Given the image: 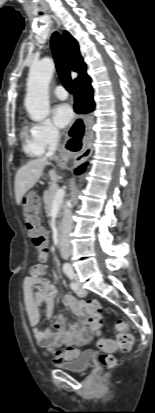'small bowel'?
Listing matches in <instances>:
<instances>
[{
  "label": "small bowel",
  "instance_id": "1",
  "mask_svg": "<svg viewBox=\"0 0 155 413\" xmlns=\"http://www.w3.org/2000/svg\"><path fill=\"white\" fill-rule=\"evenodd\" d=\"M48 257L41 259L45 261ZM44 265L35 264L30 268L24 279V307L32 334L36 343L55 355L57 360H71L81 352L80 345L89 342L103 327L102 316H94L84 312L85 302L72 295L63 296V302L78 316L79 321L66 324L64 317L59 315L53 330H42L40 307L46 304V317L53 313V300L56 295L54 285L44 282ZM113 345V343L110 341ZM65 347V350H62Z\"/></svg>",
  "mask_w": 155,
  "mask_h": 413
}]
</instances>
